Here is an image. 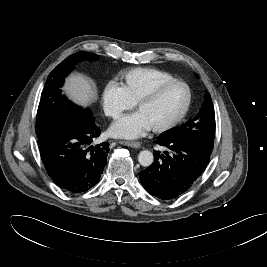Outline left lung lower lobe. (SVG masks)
Masks as SVG:
<instances>
[{"label":"left lung lower lobe","mask_w":267,"mask_h":267,"mask_svg":"<svg viewBox=\"0 0 267 267\" xmlns=\"http://www.w3.org/2000/svg\"><path fill=\"white\" fill-rule=\"evenodd\" d=\"M166 151H154L155 162L140 172V181L153 196L173 199L186 192L204 172L210 155L202 146L189 140L158 137Z\"/></svg>","instance_id":"0a47b994"}]
</instances>
